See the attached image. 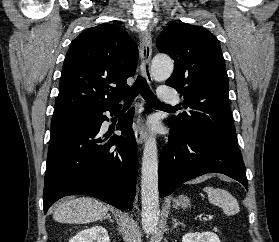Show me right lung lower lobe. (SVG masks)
I'll use <instances>...</instances> for the list:
<instances>
[{
    "label": "right lung lower lobe",
    "instance_id": "right-lung-lower-lobe-1",
    "mask_svg": "<svg viewBox=\"0 0 279 242\" xmlns=\"http://www.w3.org/2000/svg\"><path fill=\"white\" fill-rule=\"evenodd\" d=\"M119 106L86 112L80 123L51 135L44 179V213L58 199L73 194L96 197L118 209H132L138 158L132 131L133 109L119 119L117 130L128 139L103 137L100 128Z\"/></svg>",
    "mask_w": 279,
    "mask_h": 242
}]
</instances>
